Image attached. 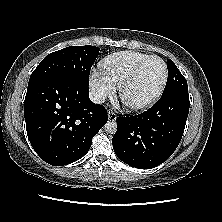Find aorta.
<instances>
[{
    "instance_id": "aorta-1",
    "label": "aorta",
    "mask_w": 222,
    "mask_h": 222,
    "mask_svg": "<svg viewBox=\"0 0 222 222\" xmlns=\"http://www.w3.org/2000/svg\"><path fill=\"white\" fill-rule=\"evenodd\" d=\"M105 132L115 134L117 131V123L115 121H108L104 126Z\"/></svg>"
}]
</instances>
